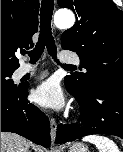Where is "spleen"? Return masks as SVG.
Wrapping results in <instances>:
<instances>
[{
	"label": "spleen",
	"mask_w": 123,
	"mask_h": 152,
	"mask_svg": "<svg viewBox=\"0 0 123 152\" xmlns=\"http://www.w3.org/2000/svg\"><path fill=\"white\" fill-rule=\"evenodd\" d=\"M84 142L94 144L99 152H120L118 146L108 137L101 135H88L83 137Z\"/></svg>",
	"instance_id": "obj_1"
}]
</instances>
